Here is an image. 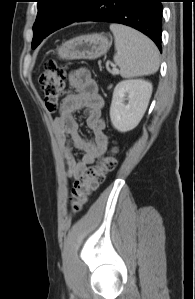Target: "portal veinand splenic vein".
Returning a JSON list of instances; mask_svg holds the SVG:
<instances>
[{
    "instance_id": "obj_1",
    "label": "portal vein and splenic vein",
    "mask_w": 195,
    "mask_h": 299,
    "mask_svg": "<svg viewBox=\"0 0 195 299\" xmlns=\"http://www.w3.org/2000/svg\"><path fill=\"white\" fill-rule=\"evenodd\" d=\"M119 70L117 68H113V73L117 74Z\"/></svg>"
}]
</instances>
